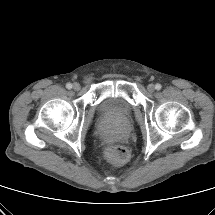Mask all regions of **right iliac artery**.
I'll list each match as a JSON object with an SVG mask.
<instances>
[{
	"mask_svg": "<svg viewBox=\"0 0 215 215\" xmlns=\"http://www.w3.org/2000/svg\"><path fill=\"white\" fill-rule=\"evenodd\" d=\"M66 88H67V89H71V88H72V84H71V83H67V84H66Z\"/></svg>",
	"mask_w": 215,
	"mask_h": 215,
	"instance_id": "1",
	"label": "right iliac artery"
}]
</instances>
